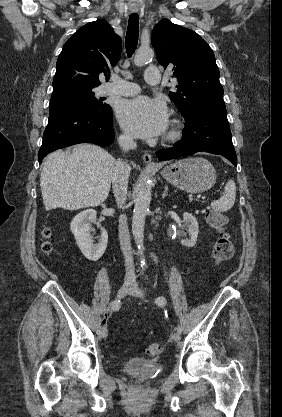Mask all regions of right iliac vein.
I'll list each match as a JSON object with an SVG mask.
<instances>
[{
    "mask_svg": "<svg viewBox=\"0 0 282 417\" xmlns=\"http://www.w3.org/2000/svg\"><path fill=\"white\" fill-rule=\"evenodd\" d=\"M132 289V285L129 283H125L123 284L120 289L117 292V297L118 298H123L124 296H126ZM107 329L106 328H102L101 331L99 332V336L102 338L107 337Z\"/></svg>",
    "mask_w": 282,
    "mask_h": 417,
    "instance_id": "1",
    "label": "right iliac vein"
}]
</instances>
